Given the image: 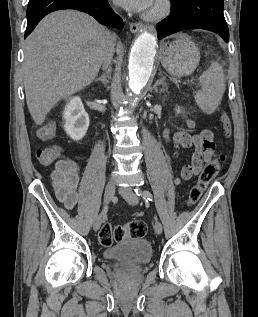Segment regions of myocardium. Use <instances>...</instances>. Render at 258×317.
I'll use <instances>...</instances> for the list:
<instances>
[{
	"label": "myocardium",
	"instance_id": "1",
	"mask_svg": "<svg viewBox=\"0 0 258 317\" xmlns=\"http://www.w3.org/2000/svg\"><path fill=\"white\" fill-rule=\"evenodd\" d=\"M171 7L166 2H158L153 5L146 13L148 20H160L170 13Z\"/></svg>",
	"mask_w": 258,
	"mask_h": 317
}]
</instances>
